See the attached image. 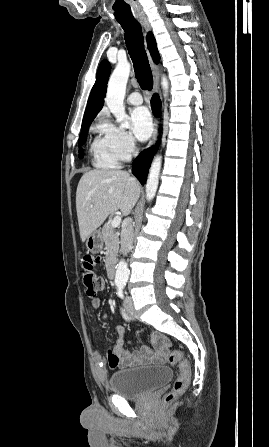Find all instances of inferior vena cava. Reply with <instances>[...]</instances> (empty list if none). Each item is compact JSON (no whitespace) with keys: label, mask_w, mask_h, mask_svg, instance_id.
<instances>
[{"label":"inferior vena cava","mask_w":269,"mask_h":447,"mask_svg":"<svg viewBox=\"0 0 269 447\" xmlns=\"http://www.w3.org/2000/svg\"><path fill=\"white\" fill-rule=\"evenodd\" d=\"M133 243V220L128 218L122 225L121 229V251L123 255H126L130 249H132Z\"/></svg>","instance_id":"obj_1"}]
</instances>
